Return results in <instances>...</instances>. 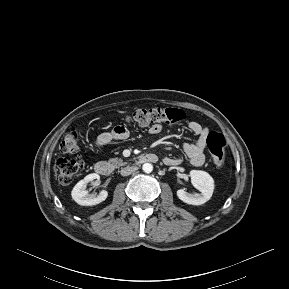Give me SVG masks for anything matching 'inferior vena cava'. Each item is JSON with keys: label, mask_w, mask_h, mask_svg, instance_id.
<instances>
[{"label": "inferior vena cava", "mask_w": 289, "mask_h": 289, "mask_svg": "<svg viewBox=\"0 0 289 289\" xmlns=\"http://www.w3.org/2000/svg\"><path fill=\"white\" fill-rule=\"evenodd\" d=\"M137 169L138 168L136 166H131V167L127 166V167L121 169V175L122 176H128V175L134 173Z\"/></svg>", "instance_id": "obj_1"}]
</instances>
